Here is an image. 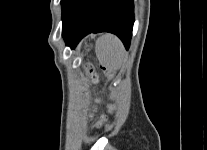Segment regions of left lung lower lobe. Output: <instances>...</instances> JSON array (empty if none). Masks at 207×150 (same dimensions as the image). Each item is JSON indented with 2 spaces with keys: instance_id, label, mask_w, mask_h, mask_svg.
<instances>
[{
  "instance_id": "obj_1",
  "label": "left lung lower lobe",
  "mask_w": 207,
  "mask_h": 150,
  "mask_svg": "<svg viewBox=\"0 0 207 150\" xmlns=\"http://www.w3.org/2000/svg\"><path fill=\"white\" fill-rule=\"evenodd\" d=\"M62 35L74 48L87 34H116L129 48L134 23L132 0H66L62 5Z\"/></svg>"
}]
</instances>
